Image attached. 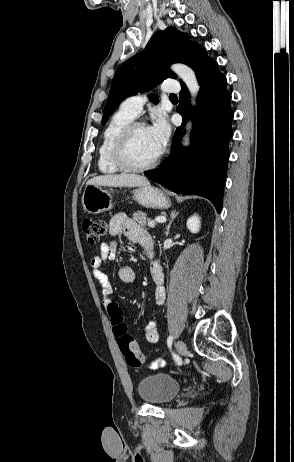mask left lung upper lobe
Segmentation results:
<instances>
[{
  "label": "left lung upper lobe",
  "mask_w": 294,
  "mask_h": 462,
  "mask_svg": "<svg viewBox=\"0 0 294 462\" xmlns=\"http://www.w3.org/2000/svg\"><path fill=\"white\" fill-rule=\"evenodd\" d=\"M189 39L188 34L169 27L156 33L145 50L123 63L113 78L102 124L108 121L125 98L148 91L166 78H177L169 69V64L181 62L196 73L211 60L204 47ZM150 99L158 103L155 95H150Z\"/></svg>",
  "instance_id": "obj_1"
}]
</instances>
